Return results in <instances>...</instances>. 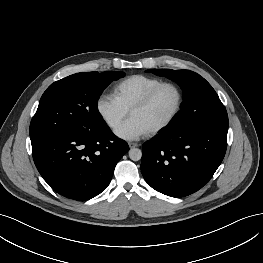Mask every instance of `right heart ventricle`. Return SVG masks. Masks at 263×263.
<instances>
[{
	"mask_svg": "<svg viewBox=\"0 0 263 263\" xmlns=\"http://www.w3.org/2000/svg\"><path fill=\"white\" fill-rule=\"evenodd\" d=\"M161 79L146 75H132L119 81L112 89L114 98L127 110L140 100Z\"/></svg>",
	"mask_w": 263,
	"mask_h": 263,
	"instance_id": "obj_1",
	"label": "right heart ventricle"
}]
</instances>
